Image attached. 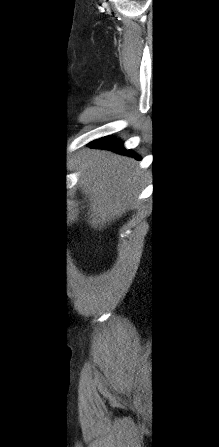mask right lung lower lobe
Returning <instances> with one entry per match:
<instances>
[{"label": "right lung lower lobe", "mask_w": 219, "mask_h": 447, "mask_svg": "<svg viewBox=\"0 0 219 447\" xmlns=\"http://www.w3.org/2000/svg\"><path fill=\"white\" fill-rule=\"evenodd\" d=\"M88 145L91 148L109 149V150L116 151V152H119L124 155L133 156L136 159L140 160V157L138 155H135V153L130 150H125L122 146V142L118 141L114 138H107V137L100 138L96 141L89 143Z\"/></svg>", "instance_id": "right-lung-lower-lobe-1"}]
</instances>
